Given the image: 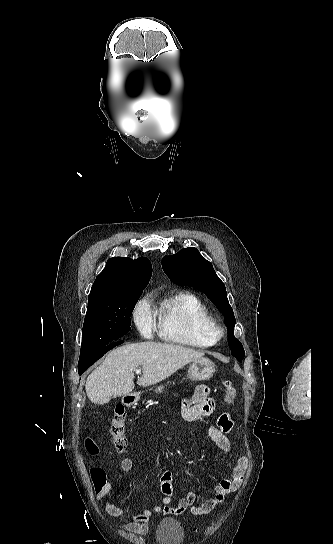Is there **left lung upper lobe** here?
I'll return each mask as SVG.
<instances>
[{
    "instance_id": "left-lung-upper-lobe-1",
    "label": "left lung upper lobe",
    "mask_w": 333,
    "mask_h": 544,
    "mask_svg": "<svg viewBox=\"0 0 333 544\" xmlns=\"http://www.w3.org/2000/svg\"><path fill=\"white\" fill-rule=\"evenodd\" d=\"M162 267L174 282L190 285L205 293L224 314L232 355L241 362L245 352L240 341L234 337L233 310L227 299L225 285L216 275L212 264L196 248L189 247L175 255L163 257Z\"/></svg>"
}]
</instances>
